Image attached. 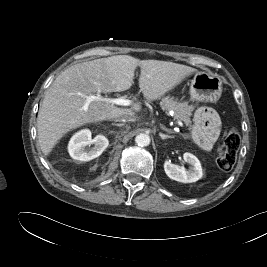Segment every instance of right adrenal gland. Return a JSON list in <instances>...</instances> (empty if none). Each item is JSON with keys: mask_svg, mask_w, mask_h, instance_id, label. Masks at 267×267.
Instances as JSON below:
<instances>
[{"mask_svg": "<svg viewBox=\"0 0 267 267\" xmlns=\"http://www.w3.org/2000/svg\"><path fill=\"white\" fill-rule=\"evenodd\" d=\"M112 125H115V126H118V127H121V126H123L124 124H115V123H113Z\"/></svg>", "mask_w": 267, "mask_h": 267, "instance_id": "obj_1", "label": "right adrenal gland"}]
</instances>
